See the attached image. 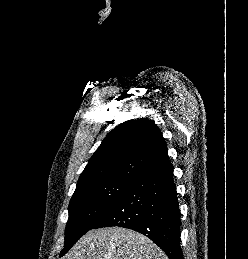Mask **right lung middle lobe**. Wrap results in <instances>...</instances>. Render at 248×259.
Listing matches in <instances>:
<instances>
[{"instance_id":"obj_1","label":"right lung middle lobe","mask_w":248,"mask_h":259,"mask_svg":"<svg viewBox=\"0 0 248 259\" xmlns=\"http://www.w3.org/2000/svg\"><path fill=\"white\" fill-rule=\"evenodd\" d=\"M131 184L107 181L76 188L68 207L65 245L60 257L107 214Z\"/></svg>"}]
</instances>
